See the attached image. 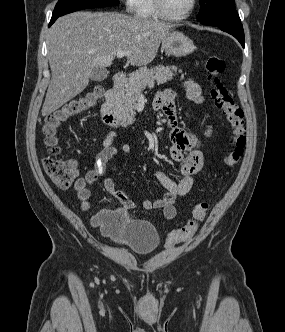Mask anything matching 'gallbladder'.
<instances>
[{
    "label": "gallbladder",
    "mask_w": 285,
    "mask_h": 332,
    "mask_svg": "<svg viewBox=\"0 0 285 332\" xmlns=\"http://www.w3.org/2000/svg\"><path fill=\"white\" fill-rule=\"evenodd\" d=\"M108 73L105 67H95L91 72L90 78L93 81L100 82L107 78Z\"/></svg>",
    "instance_id": "1"
}]
</instances>
